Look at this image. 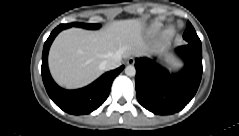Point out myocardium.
I'll return each instance as SVG.
<instances>
[{
  "instance_id": "obj_1",
  "label": "myocardium",
  "mask_w": 239,
  "mask_h": 136,
  "mask_svg": "<svg viewBox=\"0 0 239 136\" xmlns=\"http://www.w3.org/2000/svg\"><path fill=\"white\" fill-rule=\"evenodd\" d=\"M169 33H172V30L171 29H168L166 30L165 34H169Z\"/></svg>"
}]
</instances>
